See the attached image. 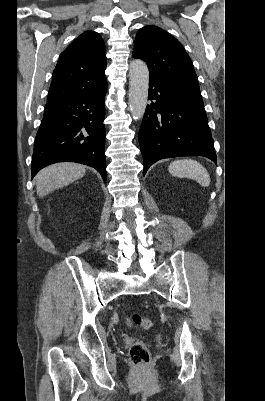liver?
I'll return each instance as SVG.
<instances>
[{
  "label": "liver",
  "mask_w": 265,
  "mask_h": 401,
  "mask_svg": "<svg viewBox=\"0 0 265 401\" xmlns=\"http://www.w3.org/2000/svg\"><path fill=\"white\" fill-rule=\"evenodd\" d=\"M86 168L87 166L76 164V162H57V164H50V166L42 168L35 176L38 196L42 198L55 188H62L73 180L82 178Z\"/></svg>",
  "instance_id": "obj_1"
}]
</instances>
